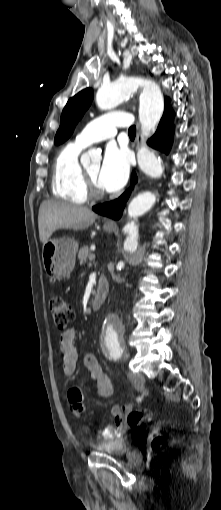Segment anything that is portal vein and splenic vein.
Wrapping results in <instances>:
<instances>
[{
	"instance_id": "1",
	"label": "portal vein and splenic vein",
	"mask_w": 221,
	"mask_h": 510,
	"mask_svg": "<svg viewBox=\"0 0 221 510\" xmlns=\"http://www.w3.org/2000/svg\"><path fill=\"white\" fill-rule=\"evenodd\" d=\"M94 259H95V254H91L89 257V260H94Z\"/></svg>"
}]
</instances>
